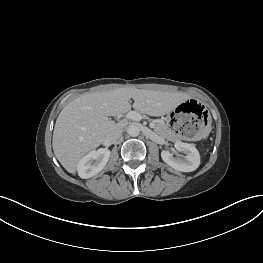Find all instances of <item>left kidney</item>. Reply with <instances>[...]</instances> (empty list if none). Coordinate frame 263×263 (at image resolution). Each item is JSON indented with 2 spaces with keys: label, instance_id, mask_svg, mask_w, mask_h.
Segmentation results:
<instances>
[{
  "label": "left kidney",
  "instance_id": "1",
  "mask_svg": "<svg viewBox=\"0 0 263 263\" xmlns=\"http://www.w3.org/2000/svg\"><path fill=\"white\" fill-rule=\"evenodd\" d=\"M175 149L183 151L185 156L183 158H176L169 151H162L161 157L163 161L170 167L181 172H192L200 165V154L193 144L176 141Z\"/></svg>",
  "mask_w": 263,
  "mask_h": 263
}]
</instances>
